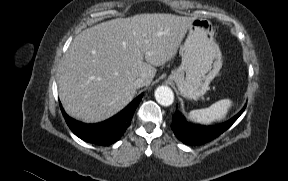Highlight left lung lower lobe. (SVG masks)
<instances>
[{
  "instance_id": "1",
  "label": "left lung lower lobe",
  "mask_w": 288,
  "mask_h": 181,
  "mask_svg": "<svg viewBox=\"0 0 288 181\" xmlns=\"http://www.w3.org/2000/svg\"><path fill=\"white\" fill-rule=\"evenodd\" d=\"M244 109L245 106L237 115H235L230 120L213 126H203L189 123L185 120V118L181 115L180 112L176 111L173 115L171 128L176 137L184 144L202 145L217 138L228 128H230L231 125L243 113Z\"/></svg>"
}]
</instances>
